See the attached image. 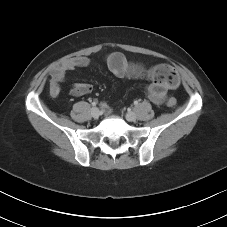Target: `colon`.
<instances>
[{"mask_svg":"<svg viewBox=\"0 0 227 227\" xmlns=\"http://www.w3.org/2000/svg\"><path fill=\"white\" fill-rule=\"evenodd\" d=\"M156 74L160 81L171 85H178V75L173 67L166 64H159L155 66ZM166 104L170 108H175L177 106V100L174 97H169L166 100Z\"/></svg>","mask_w":227,"mask_h":227,"instance_id":"5ec220e1","label":"colon"}]
</instances>
